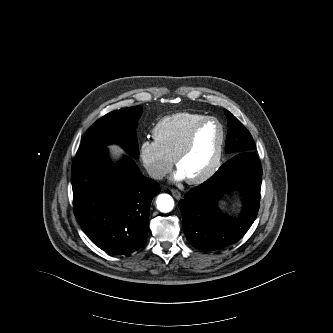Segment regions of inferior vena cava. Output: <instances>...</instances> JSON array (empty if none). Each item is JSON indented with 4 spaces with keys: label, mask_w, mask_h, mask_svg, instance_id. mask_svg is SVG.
I'll use <instances>...</instances> for the list:
<instances>
[{
    "label": "inferior vena cava",
    "mask_w": 333,
    "mask_h": 333,
    "mask_svg": "<svg viewBox=\"0 0 333 333\" xmlns=\"http://www.w3.org/2000/svg\"><path fill=\"white\" fill-rule=\"evenodd\" d=\"M148 174L154 178L161 180L165 177L166 172L157 166H151L147 169Z\"/></svg>",
    "instance_id": "1"
}]
</instances>
